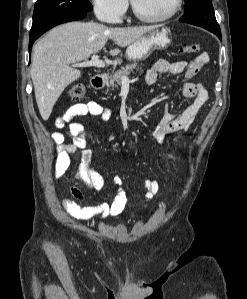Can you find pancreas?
I'll return each instance as SVG.
<instances>
[{"label":"pancreas","instance_id":"obj_1","mask_svg":"<svg viewBox=\"0 0 247 299\" xmlns=\"http://www.w3.org/2000/svg\"><path fill=\"white\" fill-rule=\"evenodd\" d=\"M142 71V66L138 65L137 63H131L128 65H125L121 68V70L116 71L110 78L108 82V86L112 88H118V86L121 84L123 76H128L131 72L134 70Z\"/></svg>","mask_w":247,"mask_h":299}]
</instances>
